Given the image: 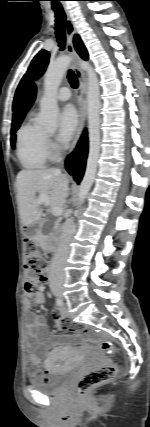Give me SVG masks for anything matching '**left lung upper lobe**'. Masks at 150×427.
<instances>
[{
    "label": "left lung upper lobe",
    "instance_id": "1",
    "mask_svg": "<svg viewBox=\"0 0 150 427\" xmlns=\"http://www.w3.org/2000/svg\"><path fill=\"white\" fill-rule=\"evenodd\" d=\"M48 62H49V52H47L46 50H41L34 57V59L32 60L30 66H29L27 73L22 78V80L19 83V86L16 90L14 102H13V109H15L17 98H18L19 93H20L24 83L26 82V80L29 78H34V79L39 78L44 73Z\"/></svg>",
    "mask_w": 150,
    "mask_h": 427
}]
</instances>
